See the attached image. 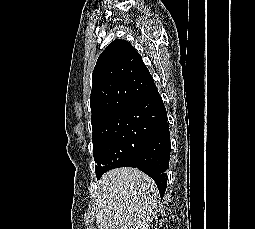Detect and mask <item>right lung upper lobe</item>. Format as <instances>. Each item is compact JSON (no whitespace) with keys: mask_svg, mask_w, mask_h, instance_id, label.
<instances>
[{"mask_svg":"<svg viewBox=\"0 0 255 229\" xmlns=\"http://www.w3.org/2000/svg\"><path fill=\"white\" fill-rule=\"evenodd\" d=\"M92 129L152 96L157 87L141 55L126 40H115L99 56L92 75Z\"/></svg>","mask_w":255,"mask_h":229,"instance_id":"right-lung-upper-lobe-1","label":"right lung upper lobe"}]
</instances>
